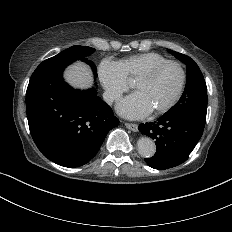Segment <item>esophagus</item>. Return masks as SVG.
<instances>
[{
    "mask_svg": "<svg viewBox=\"0 0 232 232\" xmlns=\"http://www.w3.org/2000/svg\"><path fill=\"white\" fill-rule=\"evenodd\" d=\"M125 126H126V128H128V129H130V130H132L134 132L138 131V125L137 124L126 122Z\"/></svg>",
    "mask_w": 232,
    "mask_h": 232,
    "instance_id": "obj_1",
    "label": "esophagus"
}]
</instances>
